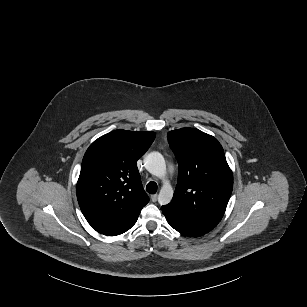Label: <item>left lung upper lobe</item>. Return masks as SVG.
Here are the masks:
<instances>
[{
  "label": "left lung upper lobe",
  "instance_id": "left-lung-upper-lobe-1",
  "mask_svg": "<svg viewBox=\"0 0 307 307\" xmlns=\"http://www.w3.org/2000/svg\"><path fill=\"white\" fill-rule=\"evenodd\" d=\"M178 161V182L166 205L191 225L210 231L221 220L233 188V175L220 143L198 129L167 134Z\"/></svg>",
  "mask_w": 307,
  "mask_h": 307
}]
</instances>
